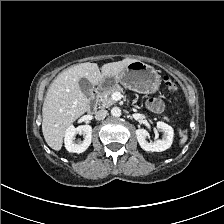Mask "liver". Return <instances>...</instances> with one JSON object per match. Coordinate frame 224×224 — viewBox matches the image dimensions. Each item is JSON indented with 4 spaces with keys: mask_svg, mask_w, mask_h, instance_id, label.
Segmentation results:
<instances>
[{
    "mask_svg": "<svg viewBox=\"0 0 224 224\" xmlns=\"http://www.w3.org/2000/svg\"><path fill=\"white\" fill-rule=\"evenodd\" d=\"M135 59L104 64L101 72L96 63L74 65L60 73L51 83L42 107V132L49 147L62 148L66 130L88 110V99L78 81L85 77L92 85H100L104 77L118 75Z\"/></svg>",
    "mask_w": 224,
    "mask_h": 224,
    "instance_id": "1",
    "label": "liver"
}]
</instances>
